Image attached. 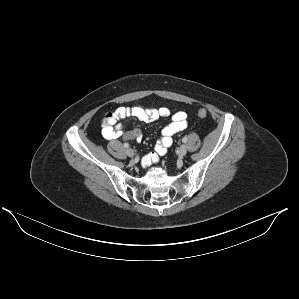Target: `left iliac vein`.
Returning a JSON list of instances; mask_svg holds the SVG:
<instances>
[{"label":"left iliac vein","instance_id":"left-iliac-vein-1","mask_svg":"<svg viewBox=\"0 0 299 299\" xmlns=\"http://www.w3.org/2000/svg\"><path fill=\"white\" fill-rule=\"evenodd\" d=\"M178 153L180 156H185L187 153V147L185 145L180 146Z\"/></svg>","mask_w":299,"mask_h":299}]
</instances>
